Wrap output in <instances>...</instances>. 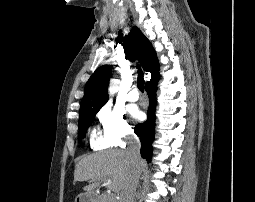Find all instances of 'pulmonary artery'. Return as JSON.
I'll return each instance as SVG.
<instances>
[{"label":"pulmonary artery","instance_id":"obj_1","mask_svg":"<svg viewBox=\"0 0 255 202\" xmlns=\"http://www.w3.org/2000/svg\"><path fill=\"white\" fill-rule=\"evenodd\" d=\"M126 97L129 101H132V102L137 101L139 99V94L135 86H132L130 88Z\"/></svg>","mask_w":255,"mask_h":202}]
</instances>
